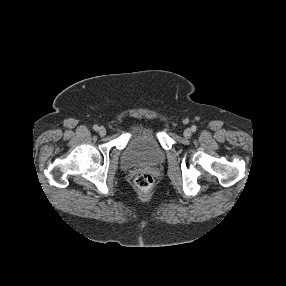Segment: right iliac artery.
<instances>
[{
    "label": "right iliac artery",
    "instance_id": "1",
    "mask_svg": "<svg viewBox=\"0 0 286 286\" xmlns=\"http://www.w3.org/2000/svg\"><path fill=\"white\" fill-rule=\"evenodd\" d=\"M93 129H94L95 131H97V130L99 129V126H98V125H94V126H93Z\"/></svg>",
    "mask_w": 286,
    "mask_h": 286
}]
</instances>
